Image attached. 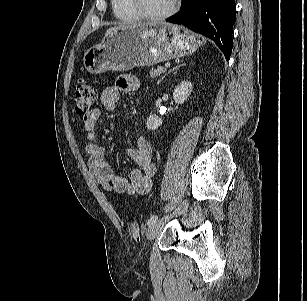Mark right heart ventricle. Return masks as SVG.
I'll return each instance as SVG.
<instances>
[{"label": "right heart ventricle", "instance_id": "e07e8e85", "mask_svg": "<svg viewBox=\"0 0 307 301\" xmlns=\"http://www.w3.org/2000/svg\"><path fill=\"white\" fill-rule=\"evenodd\" d=\"M113 12L124 23L136 22L140 17L133 11L129 0H111Z\"/></svg>", "mask_w": 307, "mask_h": 301}]
</instances>
